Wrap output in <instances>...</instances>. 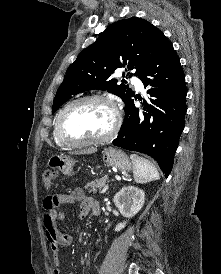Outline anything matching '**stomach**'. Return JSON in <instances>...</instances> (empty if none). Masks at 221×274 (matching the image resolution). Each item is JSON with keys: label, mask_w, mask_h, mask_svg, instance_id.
<instances>
[{"label": "stomach", "mask_w": 221, "mask_h": 274, "mask_svg": "<svg viewBox=\"0 0 221 274\" xmlns=\"http://www.w3.org/2000/svg\"><path fill=\"white\" fill-rule=\"evenodd\" d=\"M102 154L103 161L108 166L115 167L123 172L131 169V162L123 151L110 147L104 149ZM48 166L65 176H71L73 174L74 161L70 156L53 155L48 160Z\"/></svg>", "instance_id": "0dacf381"}]
</instances>
